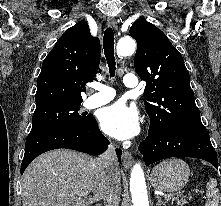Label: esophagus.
<instances>
[{
    "mask_svg": "<svg viewBox=\"0 0 221 206\" xmlns=\"http://www.w3.org/2000/svg\"><path fill=\"white\" fill-rule=\"evenodd\" d=\"M107 23H108L109 26H111V27H113V28H117V21H116L115 18L109 17V18L107 19ZM133 162H134V159H133L131 153L128 152V151H124V152L122 153V165H123L126 169H129V168L132 166Z\"/></svg>",
    "mask_w": 221,
    "mask_h": 206,
    "instance_id": "34e87169",
    "label": "esophagus"
}]
</instances>
